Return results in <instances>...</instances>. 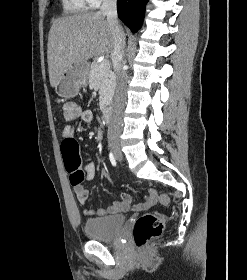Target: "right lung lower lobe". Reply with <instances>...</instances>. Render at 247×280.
Returning <instances> with one entry per match:
<instances>
[{
  "mask_svg": "<svg viewBox=\"0 0 247 280\" xmlns=\"http://www.w3.org/2000/svg\"><path fill=\"white\" fill-rule=\"evenodd\" d=\"M147 0H118V16L131 29L137 32L143 22Z\"/></svg>",
  "mask_w": 247,
  "mask_h": 280,
  "instance_id": "98d812e1",
  "label": "right lung lower lobe"
}]
</instances>
